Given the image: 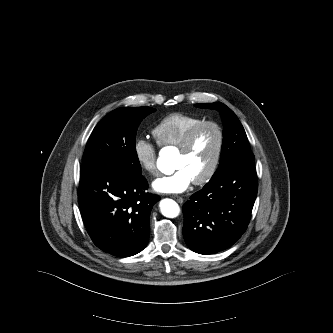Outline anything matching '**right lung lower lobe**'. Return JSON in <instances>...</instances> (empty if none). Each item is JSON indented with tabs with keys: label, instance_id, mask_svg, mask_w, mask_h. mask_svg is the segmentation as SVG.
I'll use <instances>...</instances> for the list:
<instances>
[{
	"label": "right lung lower lobe",
	"instance_id": "98d812e1",
	"mask_svg": "<svg viewBox=\"0 0 333 333\" xmlns=\"http://www.w3.org/2000/svg\"><path fill=\"white\" fill-rule=\"evenodd\" d=\"M142 174L116 166L80 168L78 196L87 231L101 250L119 257L139 253L147 244L149 216L160 196L145 193Z\"/></svg>",
	"mask_w": 333,
	"mask_h": 333
}]
</instances>
